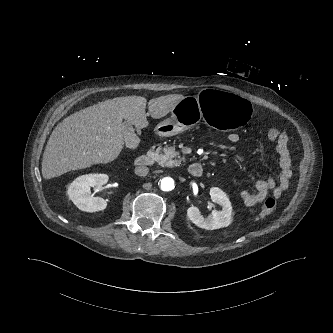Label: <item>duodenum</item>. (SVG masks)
<instances>
[{
  "instance_id": "obj_1",
  "label": "duodenum",
  "mask_w": 333,
  "mask_h": 333,
  "mask_svg": "<svg viewBox=\"0 0 333 333\" xmlns=\"http://www.w3.org/2000/svg\"><path fill=\"white\" fill-rule=\"evenodd\" d=\"M154 162V155L148 154L145 156H140L136 160V168L140 171L152 165ZM188 171L193 177H201L203 175V167L200 163H191L188 167Z\"/></svg>"
}]
</instances>
